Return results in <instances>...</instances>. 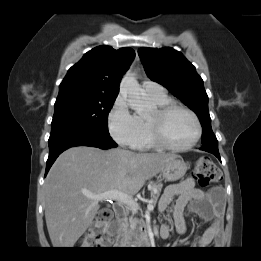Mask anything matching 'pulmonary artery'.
<instances>
[{"label": "pulmonary artery", "instance_id": "1", "mask_svg": "<svg viewBox=\"0 0 261 261\" xmlns=\"http://www.w3.org/2000/svg\"><path fill=\"white\" fill-rule=\"evenodd\" d=\"M142 88L149 95H162L165 93L162 85L151 80H144L142 82Z\"/></svg>", "mask_w": 261, "mask_h": 261}]
</instances>
